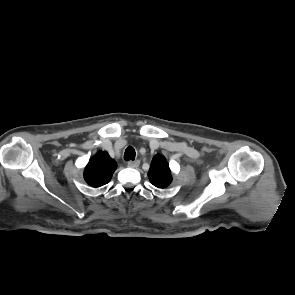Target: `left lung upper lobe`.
<instances>
[{"label": "left lung upper lobe", "mask_w": 295, "mask_h": 295, "mask_svg": "<svg viewBox=\"0 0 295 295\" xmlns=\"http://www.w3.org/2000/svg\"><path fill=\"white\" fill-rule=\"evenodd\" d=\"M150 182L157 188H166L172 181V175L163 155L157 154L153 157L150 170L148 172Z\"/></svg>", "instance_id": "1"}]
</instances>
